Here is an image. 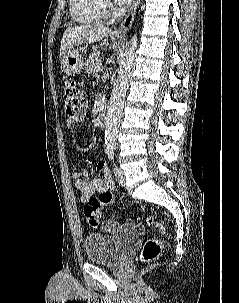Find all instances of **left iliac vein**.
<instances>
[{"mask_svg":"<svg viewBox=\"0 0 239 303\" xmlns=\"http://www.w3.org/2000/svg\"><path fill=\"white\" fill-rule=\"evenodd\" d=\"M115 175L117 177V181L121 186L125 185V175L124 171L121 168H117Z\"/></svg>","mask_w":239,"mask_h":303,"instance_id":"left-iliac-vein-1","label":"left iliac vein"}]
</instances>
